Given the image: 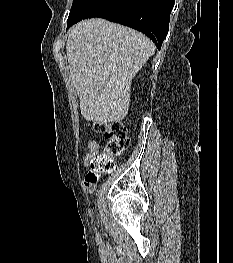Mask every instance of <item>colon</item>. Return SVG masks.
<instances>
[{
  "instance_id": "colon-1",
  "label": "colon",
  "mask_w": 233,
  "mask_h": 263,
  "mask_svg": "<svg viewBox=\"0 0 233 263\" xmlns=\"http://www.w3.org/2000/svg\"><path fill=\"white\" fill-rule=\"evenodd\" d=\"M93 127L96 132L104 134L107 142L103 151L90 164V170L85 176L88 183H95L101 174L112 172L116 158L130 143L127 128L121 122H95Z\"/></svg>"
}]
</instances>
